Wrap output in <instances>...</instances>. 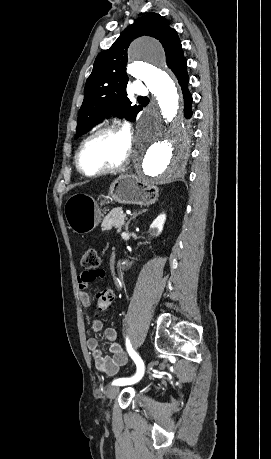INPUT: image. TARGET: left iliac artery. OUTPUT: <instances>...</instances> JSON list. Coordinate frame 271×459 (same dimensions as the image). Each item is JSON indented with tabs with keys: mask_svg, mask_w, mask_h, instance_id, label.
<instances>
[{
	"mask_svg": "<svg viewBox=\"0 0 271 459\" xmlns=\"http://www.w3.org/2000/svg\"><path fill=\"white\" fill-rule=\"evenodd\" d=\"M126 348H127V351L129 353V355L131 356V358L134 360V362L136 363V367H137V371L134 373V377H130V379L128 378H119V379H116L112 382V385H121V387L123 388H126L128 386H134L135 385V382H141V378L144 377V364H143V361L141 359V357L134 351V349L132 348V345L130 344V341L128 340V338L126 339Z\"/></svg>",
	"mask_w": 271,
	"mask_h": 459,
	"instance_id": "44dca946",
	"label": "left iliac artery"
}]
</instances>
